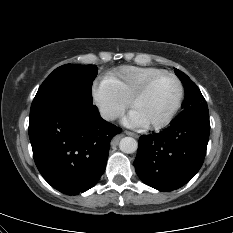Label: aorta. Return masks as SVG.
Masks as SVG:
<instances>
[{"label":"aorta","instance_id":"aorta-1","mask_svg":"<svg viewBox=\"0 0 233 233\" xmlns=\"http://www.w3.org/2000/svg\"><path fill=\"white\" fill-rule=\"evenodd\" d=\"M119 148L122 152L131 154L138 149V142L132 137H124L119 143Z\"/></svg>","mask_w":233,"mask_h":233}]
</instances>
